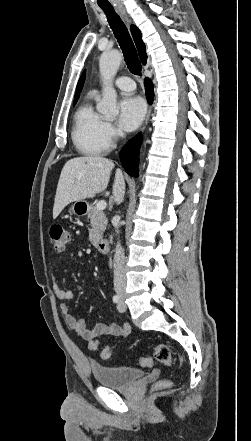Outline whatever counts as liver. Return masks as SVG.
Wrapping results in <instances>:
<instances>
[{
  "instance_id": "6515ba94",
  "label": "liver",
  "mask_w": 251,
  "mask_h": 441,
  "mask_svg": "<svg viewBox=\"0 0 251 441\" xmlns=\"http://www.w3.org/2000/svg\"><path fill=\"white\" fill-rule=\"evenodd\" d=\"M114 163L101 156L75 157L68 160L60 174L57 185L53 218L71 202L84 200L104 191L110 179ZM125 181L120 169L116 170L113 195L116 202L123 200Z\"/></svg>"
}]
</instances>
